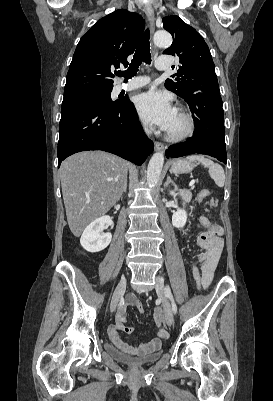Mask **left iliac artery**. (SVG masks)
I'll return each mask as SVG.
<instances>
[{
    "label": "left iliac artery",
    "mask_w": 273,
    "mask_h": 401,
    "mask_svg": "<svg viewBox=\"0 0 273 401\" xmlns=\"http://www.w3.org/2000/svg\"><path fill=\"white\" fill-rule=\"evenodd\" d=\"M166 294H167L168 298L171 300L173 312L176 313L177 312V307H176V304L174 302L173 296H172L171 291H170L168 286L166 287Z\"/></svg>",
    "instance_id": "1"
}]
</instances>
